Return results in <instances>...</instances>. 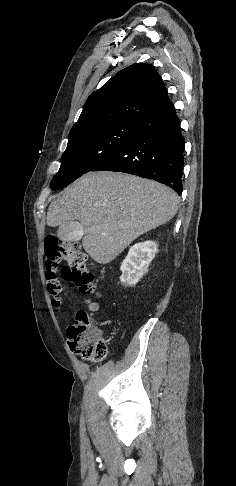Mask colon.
<instances>
[{
	"label": "colon",
	"instance_id": "1",
	"mask_svg": "<svg viewBox=\"0 0 236 486\" xmlns=\"http://www.w3.org/2000/svg\"><path fill=\"white\" fill-rule=\"evenodd\" d=\"M46 282L54 306L61 304L63 283L58 276L59 266L65 262L62 270L63 279L72 282L83 294H90L95 289L94 274L88 267L87 256L80 245L59 243L50 237L45 242ZM68 344L73 352L90 362L102 360L107 353V345L101 331L96 328L85 311H79L67 330Z\"/></svg>",
	"mask_w": 236,
	"mask_h": 486
}]
</instances>
